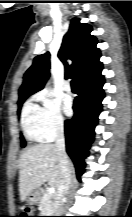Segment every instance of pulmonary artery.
<instances>
[{
	"label": "pulmonary artery",
	"instance_id": "1",
	"mask_svg": "<svg viewBox=\"0 0 132 217\" xmlns=\"http://www.w3.org/2000/svg\"><path fill=\"white\" fill-rule=\"evenodd\" d=\"M63 88L65 91L70 92L71 91V86L68 82H65L63 85Z\"/></svg>",
	"mask_w": 132,
	"mask_h": 217
}]
</instances>
